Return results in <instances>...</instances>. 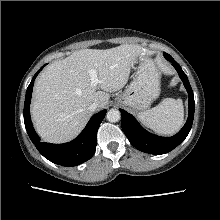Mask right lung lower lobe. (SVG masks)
<instances>
[{
    "label": "right lung lower lobe",
    "mask_w": 220,
    "mask_h": 220,
    "mask_svg": "<svg viewBox=\"0 0 220 220\" xmlns=\"http://www.w3.org/2000/svg\"><path fill=\"white\" fill-rule=\"evenodd\" d=\"M43 67H41L42 69ZM34 75L30 82L24 105V123L31 141L38 151L49 161L62 166H77L92 158L96 150L97 131L100 123L105 117L106 110L93 115L82 133L73 141L64 144H51L40 141L36 134L30 118V101L33 90V82L41 71Z\"/></svg>",
    "instance_id": "1"
}]
</instances>
